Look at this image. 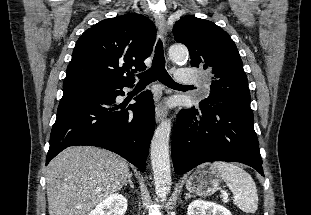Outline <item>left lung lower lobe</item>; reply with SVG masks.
Wrapping results in <instances>:
<instances>
[{
  "label": "left lung lower lobe",
  "instance_id": "0a47b994",
  "mask_svg": "<svg viewBox=\"0 0 311 215\" xmlns=\"http://www.w3.org/2000/svg\"><path fill=\"white\" fill-rule=\"evenodd\" d=\"M250 106L220 102L182 109L171 152L176 173L209 161L241 162L263 174L259 142Z\"/></svg>",
  "mask_w": 311,
  "mask_h": 215
}]
</instances>
